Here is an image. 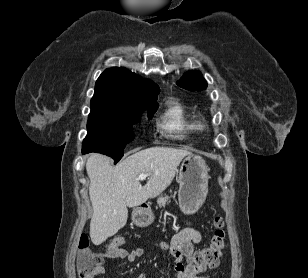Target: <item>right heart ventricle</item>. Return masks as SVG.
<instances>
[{
    "label": "right heart ventricle",
    "instance_id": "obj_1",
    "mask_svg": "<svg viewBox=\"0 0 308 278\" xmlns=\"http://www.w3.org/2000/svg\"><path fill=\"white\" fill-rule=\"evenodd\" d=\"M158 127L169 137L187 139L200 130V123L181 103L170 101L158 120Z\"/></svg>",
    "mask_w": 308,
    "mask_h": 278
}]
</instances>
